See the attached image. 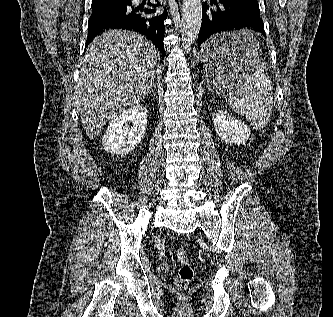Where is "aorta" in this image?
<instances>
[{
  "label": "aorta",
  "mask_w": 333,
  "mask_h": 317,
  "mask_svg": "<svg viewBox=\"0 0 333 317\" xmlns=\"http://www.w3.org/2000/svg\"><path fill=\"white\" fill-rule=\"evenodd\" d=\"M202 21L201 0H183L182 47L189 50L198 36Z\"/></svg>",
  "instance_id": "aorta-1"
}]
</instances>
